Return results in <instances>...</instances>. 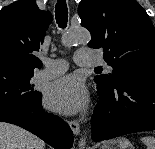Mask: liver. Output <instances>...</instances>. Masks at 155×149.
Segmentation results:
<instances>
[{
  "label": "liver",
  "instance_id": "liver-1",
  "mask_svg": "<svg viewBox=\"0 0 155 149\" xmlns=\"http://www.w3.org/2000/svg\"><path fill=\"white\" fill-rule=\"evenodd\" d=\"M0 149H45V143L16 125L0 122Z\"/></svg>",
  "mask_w": 155,
  "mask_h": 149
}]
</instances>
